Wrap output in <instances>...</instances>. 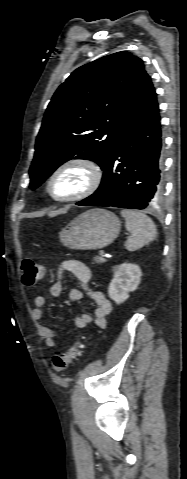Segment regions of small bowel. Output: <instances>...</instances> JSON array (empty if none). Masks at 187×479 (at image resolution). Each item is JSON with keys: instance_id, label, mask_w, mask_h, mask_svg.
<instances>
[{"instance_id": "c3829d8e", "label": "small bowel", "mask_w": 187, "mask_h": 479, "mask_svg": "<svg viewBox=\"0 0 187 479\" xmlns=\"http://www.w3.org/2000/svg\"><path fill=\"white\" fill-rule=\"evenodd\" d=\"M64 271L69 272L78 285V288L69 291L68 300L70 302L81 301L84 298L85 293H87L95 304L93 315L83 313L74 318L75 326L79 329H86L88 325L93 322L97 327L104 328L107 324V317L112 311V305L103 292L91 289V272L82 262L77 260H67L60 265L59 274L50 287L49 297L55 298L62 293L63 282L61 274ZM46 303V296L38 295L34 299L35 306L33 309V318L38 322L43 318V307ZM40 330L45 344L50 348H55L56 333L46 326H41Z\"/></svg>"}]
</instances>
